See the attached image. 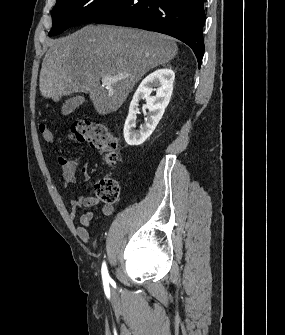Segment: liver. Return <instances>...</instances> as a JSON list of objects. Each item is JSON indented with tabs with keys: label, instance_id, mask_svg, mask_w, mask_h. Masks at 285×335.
<instances>
[{
	"label": "liver",
	"instance_id": "6515ba94",
	"mask_svg": "<svg viewBox=\"0 0 285 335\" xmlns=\"http://www.w3.org/2000/svg\"><path fill=\"white\" fill-rule=\"evenodd\" d=\"M39 88L43 98L59 102L62 96L89 94L100 116L117 112L135 84L177 54L173 38L121 26H84L74 34L48 40ZM128 74V78L103 84V76Z\"/></svg>",
	"mask_w": 285,
	"mask_h": 335
}]
</instances>
